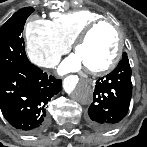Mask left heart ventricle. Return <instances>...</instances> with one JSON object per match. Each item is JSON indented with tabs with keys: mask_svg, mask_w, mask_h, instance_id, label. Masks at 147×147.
Wrapping results in <instances>:
<instances>
[{
	"mask_svg": "<svg viewBox=\"0 0 147 147\" xmlns=\"http://www.w3.org/2000/svg\"><path fill=\"white\" fill-rule=\"evenodd\" d=\"M117 43L116 31L109 25H102L91 32L75 54L84 68L98 69L111 61Z\"/></svg>",
	"mask_w": 147,
	"mask_h": 147,
	"instance_id": "left-heart-ventricle-1",
	"label": "left heart ventricle"
}]
</instances>
